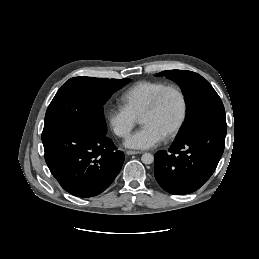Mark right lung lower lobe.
<instances>
[{
	"label": "right lung lower lobe",
	"instance_id": "obj_1",
	"mask_svg": "<svg viewBox=\"0 0 259 259\" xmlns=\"http://www.w3.org/2000/svg\"><path fill=\"white\" fill-rule=\"evenodd\" d=\"M45 161L64 190L77 197H93L115 179L124 153L98 130L69 123L43 129Z\"/></svg>",
	"mask_w": 259,
	"mask_h": 259
}]
</instances>
